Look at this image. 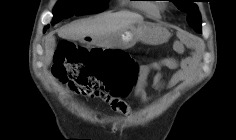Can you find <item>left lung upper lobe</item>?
<instances>
[{
  "label": "left lung upper lobe",
  "instance_id": "obj_1",
  "mask_svg": "<svg viewBox=\"0 0 236 140\" xmlns=\"http://www.w3.org/2000/svg\"><path fill=\"white\" fill-rule=\"evenodd\" d=\"M181 11L187 13V21L191 28L201 33V15L196 4L192 0H172Z\"/></svg>",
  "mask_w": 236,
  "mask_h": 140
}]
</instances>
